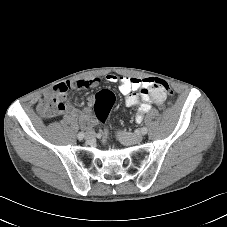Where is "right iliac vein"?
<instances>
[{"instance_id": "right-iliac-vein-1", "label": "right iliac vein", "mask_w": 227, "mask_h": 227, "mask_svg": "<svg viewBox=\"0 0 227 227\" xmlns=\"http://www.w3.org/2000/svg\"><path fill=\"white\" fill-rule=\"evenodd\" d=\"M93 138H94V135H93V133L92 132H87L86 133V136H85V139L87 140V141H92L93 140Z\"/></svg>"}]
</instances>
